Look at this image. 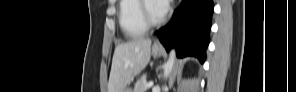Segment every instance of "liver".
I'll return each mask as SVG.
<instances>
[{"instance_id":"1","label":"liver","mask_w":296,"mask_h":92,"mask_svg":"<svg viewBox=\"0 0 296 92\" xmlns=\"http://www.w3.org/2000/svg\"><path fill=\"white\" fill-rule=\"evenodd\" d=\"M151 40L134 38L116 46L108 82V92H122L150 60Z\"/></svg>"}]
</instances>
